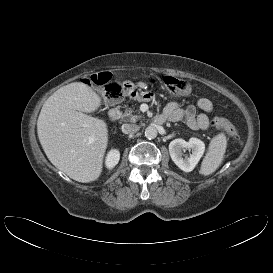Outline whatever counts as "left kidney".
I'll list each match as a JSON object with an SVG mask.
<instances>
[{
    "label": "left kidney",
    "instance_id": "5707ae66",
    "mask_svg": "<svg viewBox=\"0 0 273 273\" xmlns=\"http://www.w3.org/2000/svg\"><path fill=\"white\" fill-rule=\"evenodd\" d=\"M191 149L192 154L183 158L182 150ZM205 151V144L198 138H190L189 141L178 138L170 142L169 153L173 162L183 171L191 172Z\"/></svg>",
    "mask_w": 273,
    "mask_h": 273
}]
</instances>
